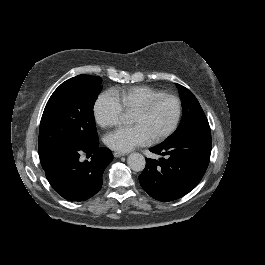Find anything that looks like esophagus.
<instances>
[{
    "instance_id": "obj_1",
    "label": "esophagus",
    "mask_w": 265,
    "mask_h": 265,
    "mask_svg": "<svg viewBox=\"0 0 265 265\" xmlns=\"http://www.w3.org/2000/svg\"><path fill=\"white\" fill-rule=\"evenodd\" d=\"M113 155H114V157L118 158V157L125 156L126 153H124V152H114Z\"/></svg>"
}]
</instances>
